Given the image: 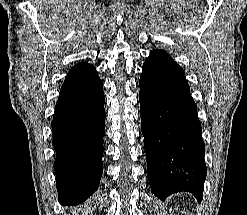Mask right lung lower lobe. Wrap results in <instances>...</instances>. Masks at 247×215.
<instances>
[{"label": "right lung lower lobe", "instance_id": "1", "mask_svg": "<svg viewBox=\"0 0 247 215\" xmlns=\"http://www.w3.org/2000/svg\"><path fill=\"white\" fill-rule=\"evenodd\" d=\"M103 84L87 62L72 67L61 87L52 120L59 202L74 206L98 188L105 134Z\"/></svg>", "mask_w": 247, "mask_h": 215}]
</instances>
